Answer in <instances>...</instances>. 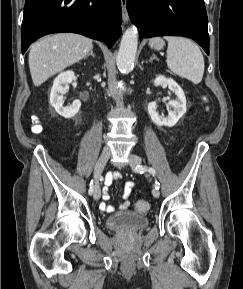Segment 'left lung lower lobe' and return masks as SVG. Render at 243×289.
<instances>
[{"mask_svg":"<svg viewBox=\"0 0 243 289\" xmlns=\"http://www.w3.org/2000/svg\"><path fill=\"white\" fill-rule=\"evenodd\" d=\"M140 39L172 35L189 37L209 54L208 20L203 0H127Z\"/></svg>","mask_w":243,"mask_h":289,"instance_id":"0a47b994","label":"left lung lower lobe"}]
</instances>
